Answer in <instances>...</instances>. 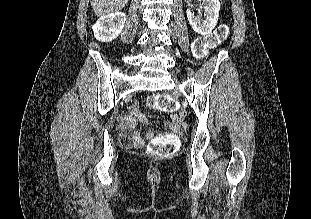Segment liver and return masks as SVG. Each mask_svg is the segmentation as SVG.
<instances>
[{"label":"liver","mask_w":311,"mask_h":219,"mask_svg":"<svg viewBox=\"0 0 311 219\" xmlns=\"http://www.w3.org/2000/svg\"><path fill=\"white\" fill-rule=\"evenodd\" d=\"M128 0H91V6L98 17H103L122 10Z\"/></svg>","instance_id":"liver-1"}]
</instances>
